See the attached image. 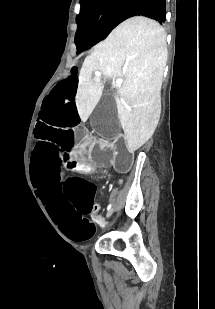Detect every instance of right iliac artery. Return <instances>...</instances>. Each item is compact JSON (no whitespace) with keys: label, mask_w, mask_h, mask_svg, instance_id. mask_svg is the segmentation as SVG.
<instances>
[{"label":"right iliac artery","mask_w":215,"mask_h":309,"mask_svg":"<svg viewBox=\"0 0 215 309\" xmlns=\"http://www.w3.org/2000/svg\"><path fill=\"white\" fill-rule=\"evenodd\" d=\"M111 209V204L108 205L107 210L109 211Z\"/></svg>","instance_id":"right-iliac-artery-1"}]
</instances>
